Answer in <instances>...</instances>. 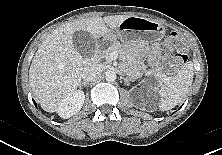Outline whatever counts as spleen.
<instances>
[{
	"label": "spleen",
	"instance_id": "obj_1",
	"mask_svg": "<svg viewBox=\"0 0 222 155\" xmlns=\"http://www.w3.org/2000/svg\"><path fill=\"white\" fill-rule=\"evenodd\" d=\"M193 76V63L186 62L176 76L166 79L159 90V110L168 111L181 103L189 91Z\"/></svg>",
	"mask_w": 222,
	"mask_h": 155
}]
</instances>
